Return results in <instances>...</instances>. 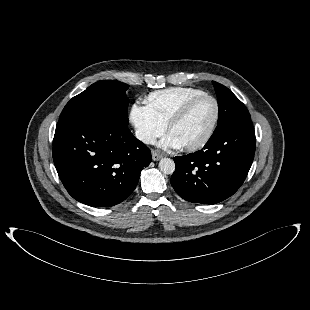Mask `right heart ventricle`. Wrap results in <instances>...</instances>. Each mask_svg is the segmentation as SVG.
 I'll return each mask as SVG.
<instances>
[{
	"mask_svg": "<svg viewBox=\"0 0 310 310\" xmlns=\"http://www.w3.org/2000/svg\"><path fill=\"white\" fill-rule=\"evenodd\" d=\"M204 93L202 90L190 87H172L150 93L145 103L151 113L167 125L185 102Z\"/></svg>",
	"mask_w": 310,
	"mask_h": 310,
	"instance_id": "1",
	"label": "right heart ventricle"
}]
</instances>
